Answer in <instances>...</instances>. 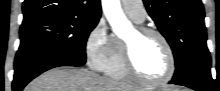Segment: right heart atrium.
I'll return each mask as SVG.
<instances>
[{"label": "right heart atrium", "mask_w": 220, "mask_h": 91, "mask_svg": "<svg viewBox=\"0 0 220 91\" xmlns=\"http://www.w3.org/2000/svg\"><path fill=\"white\" fill-rule=\"evenodd\" d=\"M87 63L95 71H105L115 52V38L108 33L106 23L99 20L84 42Z\"/></svg>", "instance_id": "1"}]
</instances>
